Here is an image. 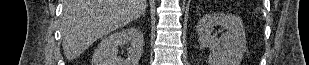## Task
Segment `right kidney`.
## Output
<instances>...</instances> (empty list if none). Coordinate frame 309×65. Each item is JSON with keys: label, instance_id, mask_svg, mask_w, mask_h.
<instances>
[{"label": "right kidney", "instance_id": "obj_1", "mask_svg": "<svg viewBox=\"0 0 309 65\" xmlns=\"http://www.w3.org/2000/svg\"><path fill=\"white\" fill-rule=\"evenodd\" d=\"M128 57L117 56L118 47L129 45ZM144 38L140 29L130 27L104 37L94 51L92 65H138L143 54Z\"/></svg>", "mask_w": 309, "mask_h": 65}]
</instances>
